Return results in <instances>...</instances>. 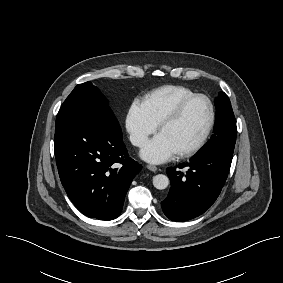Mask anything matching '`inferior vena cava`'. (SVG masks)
<instances>
[{
	"label": "inferior vena cava",
	"mask_w": 283,
	"mask_h": 283,
	"mask_svg": "<svg viewBox=\"0 0 283 283\" xmlns=\"http://www.w3.org/2000/svg\"><path fill=\"white\" fill-rule=\"evenodd\" d=\"M142 142H143V138L142 137H136L134 139V144L137 145V146L141 145Z\"/></svg>",
	"instance_id": "602c4592"
}]
</instances>
